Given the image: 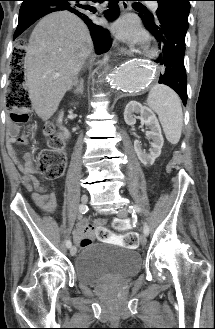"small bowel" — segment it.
<instances>
[{
  "instance_id": "small-bowel-1",
  "label": "small bowel",
  "mask_w": 215,
  "mask_h": 329,
  "mask_svg": "<svg viewBox=\"0 0 215 329\" xmlns=\"http://www.w3.org/2000/svg\"><path fill=\"white\" fill-rule=\"evenodd\" d=\"M18 136V128L16 126L10 127V135L7 142V147L10 156L15 159L19 170L22 172L24 177L31 182L34 189L33 200L35 204L47 213H53L57 208V197L54 193H46V185L35 178V169L33 167V156L30 153L24 155V161L19 162L16 159V152L14 150V144H24L26 139L24 137ZM106 223L105 218H98L95 220L94 224L91 225L86 220H82L76 227L74 233L79 241L80 247H85L89 244L83 245L82 239L85 236L90 238L92 232L96 236L97 242H119V238L111 235L110 225H104Z\"/></svg>"
}]
</instances>
